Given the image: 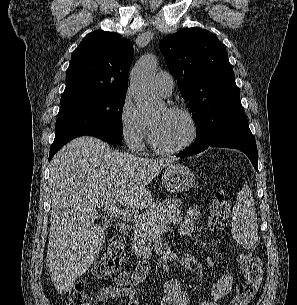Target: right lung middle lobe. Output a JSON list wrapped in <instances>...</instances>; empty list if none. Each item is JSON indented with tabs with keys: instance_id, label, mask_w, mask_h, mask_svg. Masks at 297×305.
I'll use <instances>...</instances> for the list:
<instances>
[{
	"instance_id": "1",
	"label": "right lung middle lobe",
	"mask_w": 297,
	"mask_h": 305,
	"mask_svg": "<svg viewBox=\"0 0 297 305\" xmlns=\"http://www.w3.org/2000/svg\"><path fill=\"white\" fill-rule=\"evenodd\" d=\"M125 93L83 95L61 100L52 148L90 134L122 136Z\"/></svg>"
}]
</instances>
